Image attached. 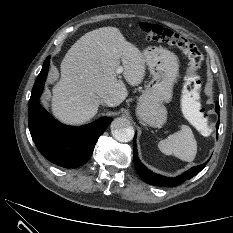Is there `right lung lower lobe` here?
Segmentation results:
<instances>
[{
    "mask_svg": "<svg viewBox=\"0 0 233 233\" xmlns=\"http://www.w3.org/2000/svg\"><path fill=\"white\" fill-rule=\"evenodd\" d=\"M50 57H47L38 75L28 106V123L32 139L40 153L52 163L76 168L92 155L95 144L111 123L103 117L82 127H70L56 121L39 104L48 73Z\"/></svg>",
    "mask_w": 233,
    "mask_h": 233,
    "instance_id": "right-lung-lower-lobe-1",
    "label": "right lung lower lobe"
}]
</instances>
